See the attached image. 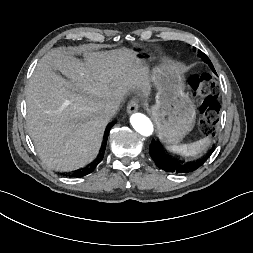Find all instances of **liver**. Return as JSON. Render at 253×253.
<instances>
[{"label":"liver","mask_w":253,"mask_h":253,"mask_svg":"<svg viewBox=\"0 0 253 253\" xmlns=\"http://www.w3.org/2000/svg\"><path fill=\"white\" fill-rule=\"evenodd\" d=\"M133 89L147 94L149 83L130 49H51L26 90L27 129L41 160L58 171L91 162L110 120L105 105Z\"/></svg>","instance_id":"liver-1"}]
</instances>
